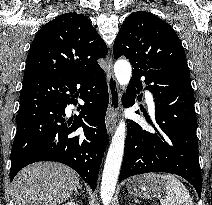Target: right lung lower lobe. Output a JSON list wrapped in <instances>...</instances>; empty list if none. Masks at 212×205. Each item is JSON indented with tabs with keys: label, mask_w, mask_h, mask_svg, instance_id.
Segmentation results:
<instances>
[{
	"label": "right lung lower lobe",
	"mask_w": 212,
	"mask_h": 205,
	"mask_svg": "<svg viewBox=\"0 0 212 205\" xmlns=\"http://www.w3.org/2000/svg\"><path fill=\"white\" fill-rule=\"evenodd\" d=\"M85 104L65 122V107ZM109 101L102 69L65 77H45L23 84L17 133L11 152L10 181L25 166L57 161L73 168L95 190L107 146L105 113ZM82 118L90 121L83 124ZM83 127V132L76 130Z\"/></svg>",
	"instance_id": "1"
}]
</instances>
